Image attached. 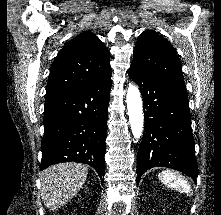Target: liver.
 I'll use <instances>...</instances> for the list:
<instances>
[{
  "label": "liver",
  "instance_id": "6515ba94",
  "mask_svg": "<svg viewBox=\"0 0 221 215\" xmlns=\"http://www.w3.org/2000/svg\"><path fill=\"white\" fill-rule=\"evenodd\" d=\"M88 175V166L60 163L42 174L41 196L46 208L54 210L67 204L81 189Z\"/></svg>",
  "mask_w": 221,
  "mask_h": 215
}]
</instances>
